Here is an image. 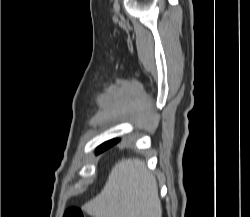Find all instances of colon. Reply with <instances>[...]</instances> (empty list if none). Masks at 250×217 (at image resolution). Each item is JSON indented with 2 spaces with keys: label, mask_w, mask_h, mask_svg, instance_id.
Listing matches in <instances>:
<instances>
[{
  "label": "colon",
  "mask_w": 250,
  "mask_h": 217,
  "mask_svg": "<svg viewBox=\"0 0 250 217\" xmlns=\"http://www.w3.org/2000/svg\"><path fill=\"white\" fill-rule=\"evenodd\" d=\"M63 217H85L84 213L79 208H69L63 215Z\"/></svg>",
  "instance_id": "5ec220e1"
}]
</instances>
